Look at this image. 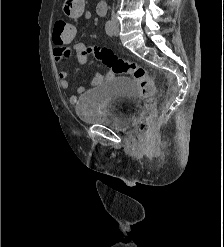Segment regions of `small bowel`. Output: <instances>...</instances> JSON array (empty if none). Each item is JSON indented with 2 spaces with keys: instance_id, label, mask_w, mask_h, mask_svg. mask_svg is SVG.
Returning <instances> with one entry per match:
<instances>
[{
  "instance_id": "c3829d8e",
  "label": "small bowel",
  "mask_w": 224,
  "mask_h": 247,
  "mask_svg": "<svg viewBox=\"0 0 224 247\" xmlns=\"http://www.w3.org/2000/svg\"><path fill=\"white\" fill-rule=\"evenodd\" d=\"M63 10L64 13L71 18L84 17L87 20L92 18V13L90 11H85L84 9V0H65ZM71 42H60L54 40L55 47L53 49V57L56 62H60L70 55V49L67 47V45ZM72 48L76 52L81 54L82 51L85 49V46L82 43H74ZM107 76H112V73H108ZM58 81L62 89L68 88L69 82L67 80L66 71L60 70L58 72ZM67 99L70 103H75L77 101V98L74 95L70 94L67 95Z\"/></svg>"
}]
</instances>
